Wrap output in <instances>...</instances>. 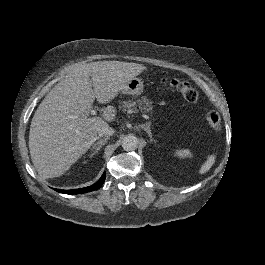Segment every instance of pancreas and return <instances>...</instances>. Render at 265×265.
<instances>
[{"instance_id": "1", "label": "pancreas", "mask_w": 265, "mask_h": 265, "mask_svg": "<svg viewBox=\"0 0 265 265\" xmlns=\"http://www.w3.org/2000/svg\"><path fill=\"white\" fill-rule=\"evenodd\" d=\"M136 104H138V108H136ZM119 111L123 112H134V111H139L140 109L143 110V112H151L153 107H152V102L147 100L144 96L141 97L140 99H132L129 98L127 101H119L118 105Z\"/></svg>"}]
</instances>
